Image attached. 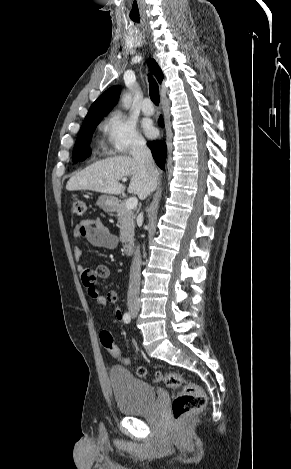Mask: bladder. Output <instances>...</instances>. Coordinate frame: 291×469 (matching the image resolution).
I'll return each mask as SVG.
<instances>
[{
	"mask_svg": "<svg viewBox=\"0 0 291 469\" xmlns=\"http://www.w3.org/2000/svg\"><path fill=\"white\" fill-rule=\"evenodd\" d=\"M115 403L120 414L139 416L151 410L156 400L154 387L128 369L114 366L109 371Z\"/></svg>",
	"mask_w": 291,
	"mask_h": 469,
	"instance_id": "31cf9c89",
	"label": "bladder"
}]
</instances>
